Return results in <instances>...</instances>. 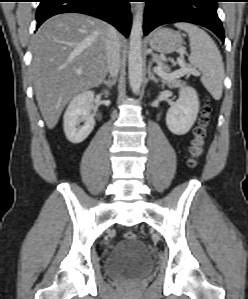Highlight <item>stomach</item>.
<instances>
[{
  "label": "stomach",
  "instance_id": "obj_1",
  "mask_svg": "<svg viewBox=\"0 0 248 299\" xmlns=\"http://www.w3.org/2000/svg\"><path fill=\"white\" fill-rule=\"evenodd\" d=\"M183 37L179 31L169 28L156 30L149 38L151 49L163 54H170L183 45Z\"/></svg>",
  "mask_w": 248,
  "mask_h": 299
}]
</instances>
